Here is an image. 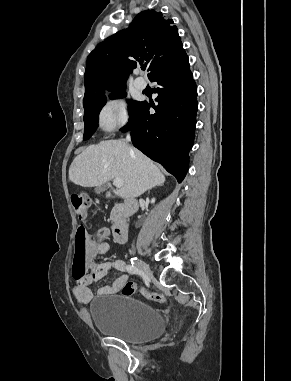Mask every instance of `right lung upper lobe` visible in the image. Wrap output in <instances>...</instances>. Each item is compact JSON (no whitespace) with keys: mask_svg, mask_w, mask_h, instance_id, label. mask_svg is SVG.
<instances>
[{"mask_svg":"<svg viewBox=\"0 0 291 381\" xmlns=\"http://www.w3.org/2000/svg\"><path fill=\"white\" fill-rule=\"evenodd\" d=\"M182 50L173 20L155 10L139 13L127 29L107 38L88 56L83 104L103 95L106 88L124 87L125 76L136 67V61H146L150 77Z\"/></svg>","mask_w":291,"mask_h":381,"instance_id":"cb5924a9","label":"right lung upper lobe"}]
</instances>
